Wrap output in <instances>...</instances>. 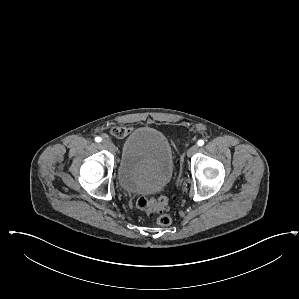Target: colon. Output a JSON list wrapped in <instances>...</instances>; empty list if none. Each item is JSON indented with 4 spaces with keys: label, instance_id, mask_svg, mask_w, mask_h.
<instances>
[{
    "label": "colon",
    "instance_id": "colon-1",
    "mask_svg": "<svg viewBox=\"0 0 299 299\" xmlns=\"http://www.w3.org/2000/svg\"><path fill=\"white\" fill-rule=\"evenodd\" d=\"M168 198L164 195H158L153 198L140 197L136 201V207L148 214L158 213L157 223L160 226H168L171 224V217L163 213L168 208Z\"/></svg>",
    "mask_w": 299,
    "mask_h": 299
}]
</instances>
